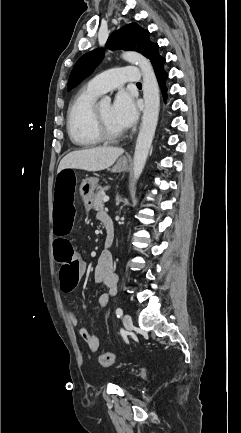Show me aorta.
<instances>
[{
  "label": "aorta",
  "instance_id": "aorta-1",
  "mask_svg": "<svg viewBox=\"0 0 241 433\" xmlns=\"http://www.w3.org/2000/svg\"><path fill=\"white\" fill-rule=\"evenodd\" d=\"M122 58L130 63L136 64L140 68L143 77V98L145 108L133 158V174L135 181L140 177L144 169L153 141L159 116L160 95L154 70L147 58L132 51L124 52ZM110 102L111 99L108 96H105L101 100V103L103 104H109Z\"/></svg>",
  "mask_w": 241,
  "mask_h": 433
}]
</instances>
